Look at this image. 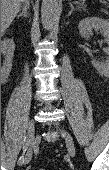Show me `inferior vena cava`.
<instances>
[{
  "mask_svg": "<svg viewBox=\"0 0 109 170\" xmlns=\"http://www.w3.org/2000/svg\"><path fill=\"white\" fill-rule=\"evenodd\" d=\"M23 2H25L26 4H28V3H29V0H23Z\"/></svg>",
  "mask_w": 109,
  "mask_h": 170,
  "instance_id": "inferior-vena-cava-1",
  "label": "inferior vena cava"
}]
</instances>
